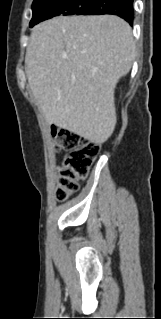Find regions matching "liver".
<instances>
[{"label": "liver", "mask_w": 161, "mask_h": 319, "mask_svg": "<svg viewBox=\"0 0 161 319\" xmlns=\"http://www.w3.org/2000/svg\"><path fill=\"white\" fill-rule=\"evenodd\" d=\"M134 58L132 30L123 19L56 17L32 30L28 84L49 125L102 144L116 124V84Z\"/></svg>", "instance_id": "obj_1"}]
</instances>
